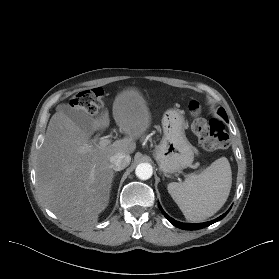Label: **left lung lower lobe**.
I'll list each match as a JSON object with an SVG mask.
<instances>
[{"label":"left lung lower lobe","mask_w":279,"mask_h":279,"mask_svg":"<svg viewBox=\"0 0 279 279\" xmlns=\"http://www.w3.org/2000/svg\"><path fill=\"white\" fill-rule=\"evenodd\" d=\"M159 208L161 209L162 213L164 214V216L176 227L180 228V229H184V230H197V229H201L204 227H207L219 220H221L222 218H224L227 215V212L223 215H221L220 217H218L215 220L209 221V222H205V223H199V224H186V223H181L178 222L174 219H172L171 217H169L161 208V206H159Z\"/></svg>","instance_id":"left-lung-lower-lobe-1"}]
</instances>
